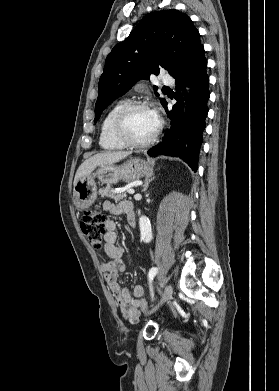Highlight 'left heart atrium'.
Returning <instances> with one entry per match:
<instances>
[{
	"instance_id": "left-heart-atrium-1",
	"label": "left heart atrium",
	"mask_w": 279,
	"mask_h": 391,
	"mask_svg": "<svg viewBox=\"0 0 279 391\" xmlns=\"http://www.w3.org/2000/svg\"><path fill=\"white\" fill-rule=\"evenodd\" d=\"M153 113L155 114V116L157 117V114L153 111Z\"/></svg>"
}]
</instances>
